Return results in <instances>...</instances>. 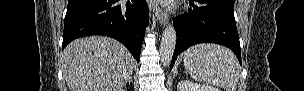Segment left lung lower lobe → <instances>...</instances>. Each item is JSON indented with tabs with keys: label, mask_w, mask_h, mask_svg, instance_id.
Returning a JSON list of instances; mask_svg holds the SVG:
<instances>
[{
	"label": "left lung lower lobe",
	"mask_w": 304,
	"mask_h": 91,
	"mask_svg": "<svg viewBox=\"0 0 304 91\" xmlns=\"http://www.w3.org/2000/svg\"><path fill=\"white\" fill-rule=\"evenodd\" d=\"M188 13L174 19L177 44L172 69L179 53L198 43H216L230 48L241 64L239 35L234 18V0H194Z\"/></svg>",
	"instance_id": "0a47b994"
}]
</instances>
